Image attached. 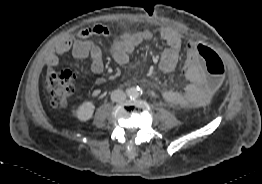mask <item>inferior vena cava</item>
Listing matches in <instances>:
<instances>
[{"label": "inferior vena cava", "mask_w": 262, "mask_h": 184, "mask_svg": "<svg viewBox=\"0 0 262 184\" xmlns=\"http://www.w3.org/2000/svg\"><path fill=\"white\" fill-rule=\"evenodd\" d=\"M126 99V94L122 90H114L111 93V100L114 102H121Z\"/></svg>", "instance_id": "602c4592"}]
</instances>
